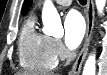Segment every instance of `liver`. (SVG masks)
Instances as JSON below:
<instances>
[{
	"label": "liver",
	"instance_id": "1",
	"mask_svg": "<svg viewBox=\"0 0 107 75\" xmlns=\"http://www.w3.org/2000/svg\"><path fill=\"white\" fill-rule=\"evenodd\" d=\"M16 75H28L26 72H22V73H17ZM50 75H54V74H50Z\"/></svg>",
	"mask_w": 107,
	"mask_h": 75
}]
</instances>
